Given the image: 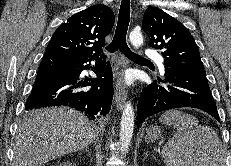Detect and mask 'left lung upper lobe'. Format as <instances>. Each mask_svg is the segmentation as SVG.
I'll return each instance as SVG.
<instances>
[{"mask_svg": "<svg viewBox=\"0 0 231 166\" xmlns=\"http://www.w3.org/2000/svg\"><path fill=\"white\" fill-rule=\"evenodd\" d=\"M142 26L151 47L162 50L165 67L204 70L195 40L178 20L157 7H148Z\"/></svg>", "mask_w": 231, "mask_h": 166, "instance_id": "left-lung-upper-lobe-1", "label": "left lung upper lobe"}]
</instances>
